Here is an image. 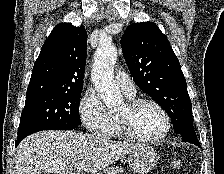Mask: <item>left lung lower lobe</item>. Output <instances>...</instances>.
<instances>
[{"label": "left lung lower lobe", "mask_w": 224, "mask_h": 174, "mask_svg": "<svg viewBox=\"0 0 224 174\" xmlns=\"http://www.w3.org/2000/svg\"><path fill=\"white\" fill-rule=\"evenodd\" d=\"M179 135L181 136L182 141H184V142L187 141V142L193 143V144L200 147V143L197 139L196 133H194V132H183Z\"/></svg>", "instance_id": "0a47b994"}]
</instances>
